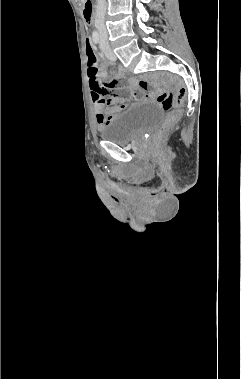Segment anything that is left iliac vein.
<instances>
[{
    "label": "left iliac vein",
    "mask_w": 241,
    "mask_h": 379,
    "mask_svg": "<svg viewBox=\"0 0 241 379\" xmlns=\"http://www.w3.org/2000/svg\"><path fill=\"white\" fill-rule=\"evenodd\" d=\"M101 48L109 60H112V61L116 60V55L114 54V52L111 50V48L105 41L101 42Z\"/></svg>",
    "instance_id": "obj_1"
}]
</instances>
